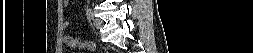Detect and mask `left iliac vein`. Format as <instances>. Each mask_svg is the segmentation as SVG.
<instances>
[{"instance_id":"left-iliac-vein-1","label":"left iliac vein","mask_w":253,"mask_h":53,"mask_svg":"<svg viewBox=\"0 0 253 53\" xmlns=\"http://www.w3.org/2000/svg\"><path fill=\"white\" fill-rule=\"evenodd\" d=\"M94 26L97 28V29H100L102 27V21L100 19H94Z\"/></svg>"}]
</instances>
